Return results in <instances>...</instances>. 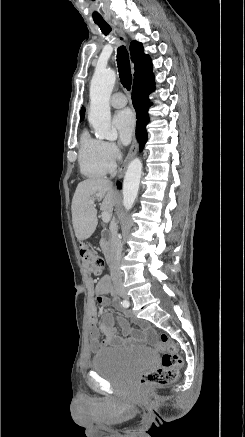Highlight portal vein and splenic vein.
<instances>
[{
	"label": "portal vein and splenic vein",
	"instance_id": "portal-vein-and-splenic-vein-1",
	"mask_svg": "<svg viewBox=\"0 0 245 437\" xmlns=\"http://www.w3.org/2000/svg\"><path fill=\"white\" fill-rule=\"evenodd\" d=\"M94 201H95V198H92L90 200L91 203H94ZM101 216H102L103 222L108 223L110 221L111 216L108 212H102Z\"/></svg>",
	"mask_w": 245,
	"mask_h": 437
}]
</instances>
